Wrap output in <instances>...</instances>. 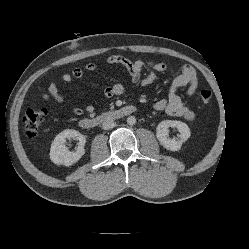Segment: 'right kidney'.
<instances>
[{"label":"right kidney","instance_id":"1","mask_svg":"<svg viewBox=\"0 0 249 249\" xmlns=\"http://www.w3.org/2000/svg\"><path fill=\"white\" fill-rule=\"evenodd\" d=\"M67 139L79 141L75 151H69L65 146ZM86 138L84 135L73 129H66L59 133L52 142L50 148V159L54 164L71 166L76 163L84 154Z\"/></svg>","mask_w":249,"mask_h":249}]
</instances>
